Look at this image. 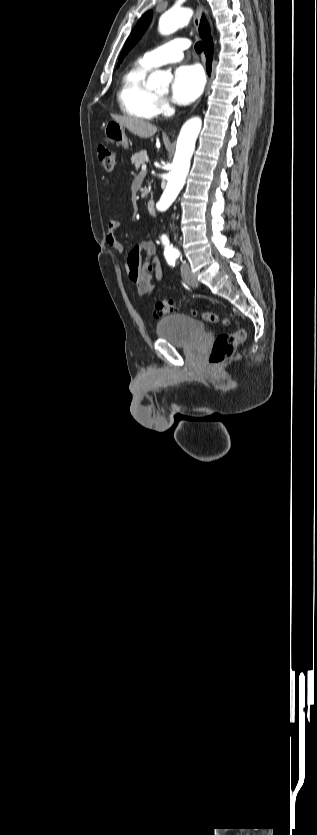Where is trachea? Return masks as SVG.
<instances>
[{
	"mask_svg": "<svg viewBox=\"0 0 317 835\" xmlns=\"http://www.w3.org/2000/svg\"><path fill=\"white\" fill-rule=\"evenodd\" d=\"M195 50H196L197 53H201L203 51V43L200 42V41L197 42L195 44Z\"/></svg>",
	"mask_w": 317,
	"mask_h": 835,
	"instance_id": "3493384b",
	"label": "trachea"
}]
</instances>
